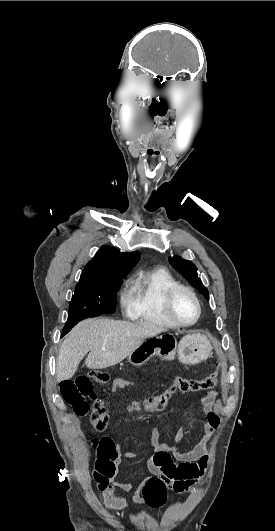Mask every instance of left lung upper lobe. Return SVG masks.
Returning a JSON list of instances; mask_svg holds the SVG:
<instances>
[{
    "instance_id": "5c2ea615",
    "label": "left lung upper lobe",
    "mask_w": 275,
    "mask_h": 531,
    "mask_svg": "<svg viewBox=\"0 0 275 531\" xmlns=\"http://www.w3.org/2000/svg\"><path fill=\"white\" fill-rule=\"evenodd\" d=\"M170 264L181 273L186 280L196 288L203 296L209 300V293L197 276L196 266L189 260L182 259L179 256L169 257Z\"/></svg>"
}]
</instances>
